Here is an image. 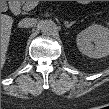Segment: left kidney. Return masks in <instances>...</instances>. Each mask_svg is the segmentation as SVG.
Returning a JSON list of instances; mask_svg holds the SVG:
<instances>
[{"label": "left kidney", "mask_w": 109, "mask_h": 109, "mask_svg": "<svg viewBox=\"0 0 109 109\" xmlns=\"http://www.w3.org/2000/svg\"><path fill=\"white\" fill-rule=\"evenodd\" d=\"M80 52L90 58H102L109 54L108 28L92 24L81 31L76 38Z\"/></svg>", "instance_id": "left-kidney-1"}]
</instances>
